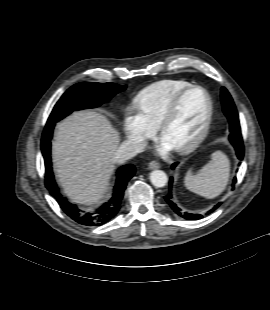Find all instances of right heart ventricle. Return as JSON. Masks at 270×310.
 <instances>
[{
    "instance_id": "right-heart-ventricle-1",
    "label": "right heart ventricle",
    "mask_w": 270,
    "mask_h": 310,
    "mask_svg": "<svg viewBox=\"0 0 270 310\" xmlns=\"http://www.w3.org/2000/svg\"><path fill=\"white\" fill-rule=\"evenodd\" d=\"M191 85L184 80H163L154 83L139 93L137 104L149 122L156 127L173 98Z\"/></svg>"
}]
</instances>
